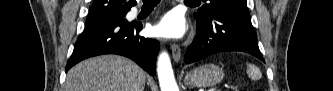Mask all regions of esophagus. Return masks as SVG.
I'll return each instance as SVG.
<instances>
[{"label":"esophagus","instance_id":"34e87169","mask_svg":"<svg viewBox=\"0 0 333 91\" xmlns=\"http://www.w3.org/2000/svg\"><path fill=\"white\" fill-rule=\"evenodd\" d=\"M172 56L175 62H178L181 58V49L177 44L171 46Z\"/></svg>","mask_w":333,"mask_h":91}]
</instances>
